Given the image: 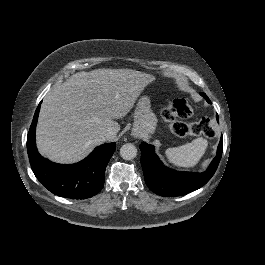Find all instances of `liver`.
Here are the masks:
<instances>
[{
    "label": "liver",
    "instance_id": "obj_1",
    "mask_svg": "<svg viewBox=\"0 0 265 265\" xmlns=\"http://www.w3.org/2000/svg\"><path fill=\"white\" fill-rule=\"evenodd\" d=\"M155 80L131 69L77 72L43 99L36 131L39 152L59 163H73L104 143L103 132L120 125L144 88ZM112 140H115L112 139Z\"/></svg>",
    "mask_w": 265,
    "mask_h": 265
}]
</instances>
